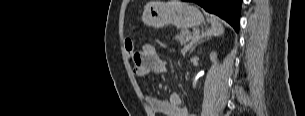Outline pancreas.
<instances>
[{
	"instance_id": "cf45deb5",
	"label": "pancreas",
	"mask_w": 305,
	"mask_h": 116,
	"mask_svg": "<svg viewBox=\"0 0 305 116\" xmlns=\"http://www.w3.org/2000/svg\"><path fill=\"white\" fill-rule=\"evenodd\" d=\"M192 39V36L186 34V33H182L180 35H176L175 36V40L179 41L181 43V45L184 46V49L182 52H187V50L190 48V45H186L187 42Z\"/></svg>"
}]
</instances>
